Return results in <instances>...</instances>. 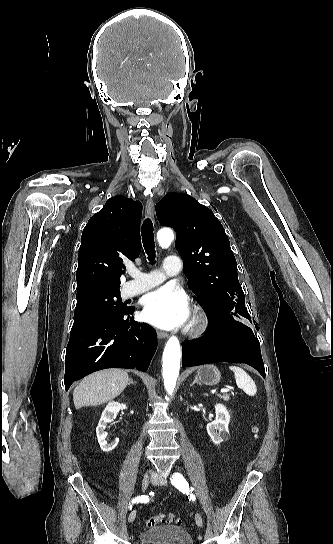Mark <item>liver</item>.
I'll list each match as a JSON object with an SVG mask.
<instances>
[{
  "mask_svg": "<svg viewBox=\"0 0 333 544\" xmlns=\"http://www.w3.org/2000/svg\"><path fill=\"white\" fill-rule=\"evenodd\" d=\"M129 383L127 371L106 369L85 377L73 392L76 409L96 406L117 397Z\"/></svg>",
  "mask_w": 333,
  "mask_h": 544,
  "instance_id": "obj_1",
  "label": "liver"
}]
</instances>
